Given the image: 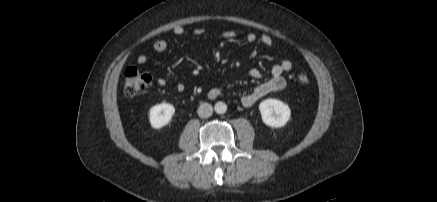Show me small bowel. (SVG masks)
Wrapping results in <instances>:
<instances>
[{
    "instance_id": "1",
    "label": "small bowel",
    "mask_w": 437,
    "mask_h": 202,
    "mask_svg": "<svg viewBox=\"0 0 437 202\" xmlns=\"http://www.w3.org/2000/svg\"><path fill=\"white\" fill-rule=\"evenodd\" d=\"M172 33L175 36H182L185 33V30L182 26H175L172 29ZM193 33L195 36H201L205 33V29L196 28L193 31ZM221 37L224 39H234L237 37V32L234 30L224 31L223 33H221ZM257 40H259L266 47H271L273 45V39L267 34H263L260 37H257V35L254 33H249L246 35V41L248 43H254ZM169 43H170L169 40L166 39L156 40L152 44V49L155 52H163L168 48ZM136 60L137 63L144 64L147 61V57L141 54L137 57ZM291 68H292V63L288 59H283L277 64H275L271 69V76L268 80L264 81L263 83L255 87L251 92L242 96L241 102L243 106L250 107L254 105L257 101H259L261 98L266 96L267 94L284 89L286 87V79L284 77V74L290 71ZM249 75L252 78H260L261 72L260 70L254 68L250 70ZM157 83L160 86H165L167 84V81L164 78H159L157 80ZM176 90L178 92H182L184 90V85L182 83H177ZM217 94H218L217 89H212L210 91L211 96H216Z\"/></svg>"
}]
</instances>
